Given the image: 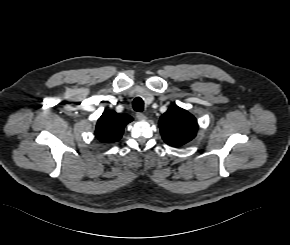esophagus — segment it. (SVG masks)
<instances>
[{
    "label": "esophagus",
    "instance_id": "esophagus-1",
    "mask_svg": "<svg viewBox=\"0 0 290 245\" xmlns=\"http://www.w3.org/2000/svg\"><path fill=\"white\" fill-rule=\"evenodd\" d=\"M136 118L138 120H145L146 116L143 113L138 112V113H136Z\"/></svg>",
    "mask_w": 290,
    "mask_h": 245
}]
</instances>
